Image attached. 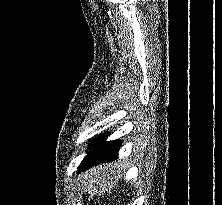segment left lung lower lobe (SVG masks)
Returning <instances> with one entry per match:
<instances>
[{"instance_id": "1", "label": "left lung lower lobe", "mask_w": 222, "mask_h": 205, "mask_svg": "<svg viewBox=\"0 0 222 205\" xmlns=\"http://www.w3.org/2000/svg\"><path fill=\"white\" fill-rule=\"evenodd\" d=\"M109 135V132H105L99 138H97L94 146L92 147V150L87 154V156L79 165V172L86 171L102 163L113 162L118 157L121 141H106V138Z\"/></svg>"}]
</instances>
